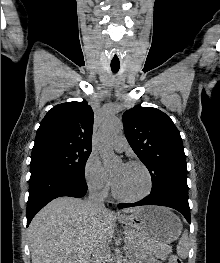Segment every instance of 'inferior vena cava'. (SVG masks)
Segmentation results:
<instances>
[{"mask_svg":"<svg viewBox=\"0 0 220 263\" xmlns=\"http://www.w3.org/2000/svg\"><path fill=\"white\" fill-rule=\"evenodd\" d=\"M87 203L92 211L104 210V195L100 191V187L94 186L89 190ZM95 263H102L100 257L94 259Z\"/></svg>","mask_w":220,"mask_h":263,"instance_id":"602c4592","label":"inferior vena cava"}]
</instances>
